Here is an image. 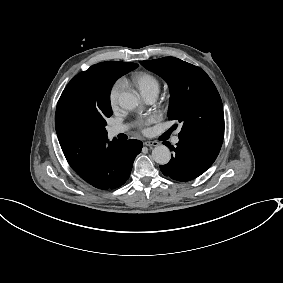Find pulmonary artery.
<instances>
[{
	"instance_id": "pulmonary-artery-1",
	"label": "pulmonary artery",
	"mask_w": 283,
	"mask_h": 283,
	"mask_svg": "<svg viewBox=\"0 0 283 283\" xmlns=\"http://www.w3.org/2000/svg\"><path fill=\"white\" fill-rule=\"evenodd\" d=\"M157 96H158L157 90H148L141 93L142 99L148 104L153 103L156 100ZM126 130H127V126L125 125L109 126L107 128L108 137L111 139L117 136L118 134L125 132Z\"/></svg>"
}]
</instances>
